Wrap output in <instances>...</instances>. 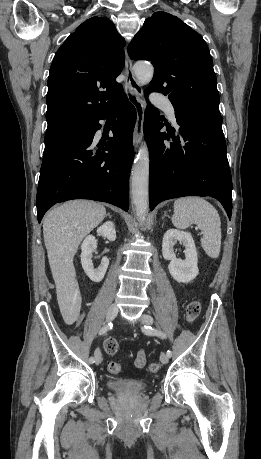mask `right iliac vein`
<instances>
[{"instance_id":"63e3f726","label":"right iliac vein","mask_w":261,"mask_h":459,"mask_svg":"<svg viewBox=\"0 0 261 459\" xmlns=\"http://www.w3.org/2000/svg\"><path fill=\"white\" fill-rule=\"evenodd\" d=\"M118 312H119L118 307L116 305H111L107 311L106 320L108 322L113 321L116 318ZM101 362H102V355H101V352L97 350L96 355H95V363L98 365Z\"/></svg>"}]
</instances>
